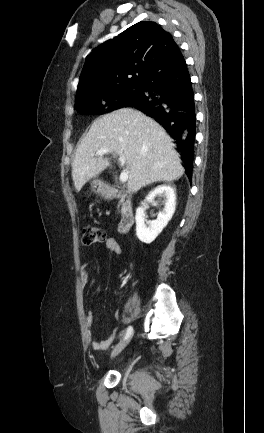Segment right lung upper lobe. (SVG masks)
<instances>
[{"instance_id":"obj_1","label":"right lung upper lobe","mask_w":264,"mask_h":433,"mask_svg":"<svg viewBox=\"0 0 264 433\" xmlns=\"http://www.w3.org/2000/svg\"><path fill=\"white\" fill-rule=\"evenodd\" d=\"M177 51L173 37L157 23L138 22L87 56L76 101L123 85L140 84Z\"/></svg>"}]
</instances>
